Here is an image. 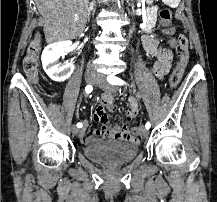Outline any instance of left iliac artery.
<instances>
[{"instance_id": "left-iliac-artery-1", "label": "left iliac artery", "mask_w": 217, "mask_h": 202, "mask_svg": "<svg viewBox=\"0 0 217 202\" xmlns=\"http://www.w3.org/2000/svg\"><path fill=\"white\" fill-rule=\"evenodd\" d=\"M107 81H108L110 84H112V85H124V84H125V82H124L122 79L117 78V77H111V76H109V77H107ZM150 127H151L150 122H147V123L145 124V128H146V129H149Z\"/></svg>"}]
</instances>
